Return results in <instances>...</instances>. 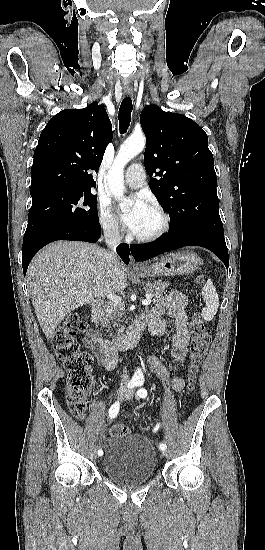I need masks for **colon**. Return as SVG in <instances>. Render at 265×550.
Returning <instances> with one entry per match:
<instances>
[{
	"instance_id": "colon-1",
	"label": "colon",
	"mask_w": 265,
	"mask_h": 550,
	"mask_svg": "<svg viewBox=\"0 0 265 550\" xmlns=\"http://www.w3.org/2000/svg\"><path fill=\"white\" fill-rule=\"evenodd\" d=\"M202 281V280H200ZM85 330L79 312H71L61 322L52 338L55 355L67 372L66 400L70 412L82 418L86 411V396L94 383L92 374V357L80 349L74 337ZM192 335L190 362L187 379L188 390H193L196 375L206 358L212 344V335L206 327L202 316L196 313L190 323ZM126 425L117 424L110 430L111 437H123L129 434Z\"/></svg>"
}]
</instances>
